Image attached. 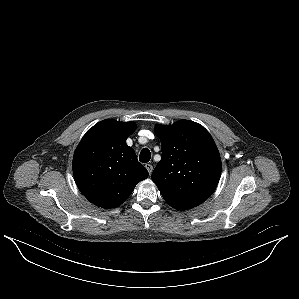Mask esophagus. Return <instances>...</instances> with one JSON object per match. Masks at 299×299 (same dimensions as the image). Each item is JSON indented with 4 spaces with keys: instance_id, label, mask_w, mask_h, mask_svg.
I'll list each match as a JSON object with an SVG mask.
<instances>
[{
    "instance_id": "1",
    "label": "esophagus",
    "mask_w": 299,
    "mask_h": 299,
    "mask_svg": "<svg viewBox=\"0 0 299 299\" xmlns=\"http://www.w3.org/2000/svg\"><path fill=\"white\" fill-rule=\"evenodd\" d=\"M146 169L148 170L149 174L151 175L152 171H153V166L152 164H145Z\"/></svg>"
}]
</instances>
